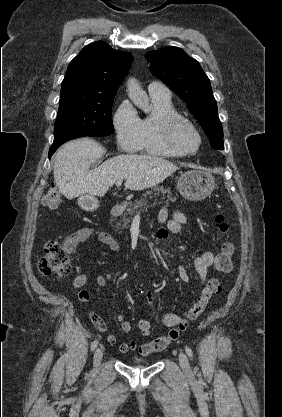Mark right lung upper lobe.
I'll return each instance as SVG.
<instances>
[{"label":"right lung upper lobe","mask_w":282,"mask_h":417,"mask_svg":"<svg viewBox=\"0 0 282 417\" xmlns=\"http://www.w3.org/2000/svg\"><path fill=\"white\" fill-rule=\"evenodd\" d=\"M130 53L98 41L84 47L71 61L61 85V94L71 92L116 93L129 70Z\"/></svg>","instance_id":"obj_1"}]
</instances>
